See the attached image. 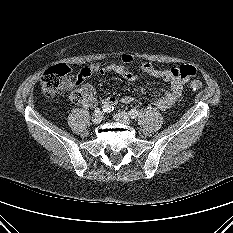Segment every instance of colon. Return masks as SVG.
<instances>
[{
    "instance_id": "1",
    "label": "colon",
    "mask_w": 233,
    "mask_h": 233,
    "mask_svg": "<svg viewBox=\"0 0 233 233\" xmlns=\"http://www.w3.org/2000/svg\"><path fill=\"white\" fill-rule=\"evenodd\" d=\"M70 73L71 69L65 64L55 65L47 69L41 78L43 93L50 97L67 93L72 102L79 103L83 101L82 93L79 90L71 88ZM174 74L182 79H190L197 74V70L192 65H183L176 68ZM201 87L202 83L199 80H191L190 89L196 91L201 89Z\"/></svg>"
}]
</instances>
